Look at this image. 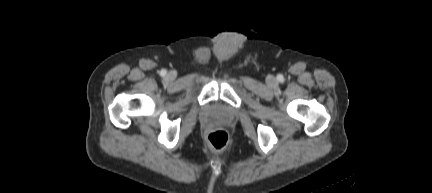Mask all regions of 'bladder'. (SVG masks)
I'll return each mask as SVG.
<instances>
[{"label": "bladder", "mask_w": 432, "mask_h": 193, "mask_svg": "<svg viewBox=\"0 0 432 193\" xmlns=\"http://www.w3.org/2000/svg\"><path fill=\"white\" fill-rule=\"evenodd\" d=\"M214 109H215V110H218V109H220V106H215Z\"/></svg>", "instance_id": "bladder-1"}]
</instances>
